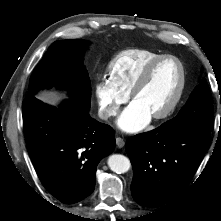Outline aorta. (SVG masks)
<instances>
[{"instance_id":"obj_1","label":"aorta","mask_w":221,"mask_h":221,"mask_svg":"<svg viewBox=\"0 0 221 221\" xmlns=\"http://www.w3.org/2000/svg\"><path fill=\"white\" fill-rule=\"evenodd\" d=\"M109 168L118 174L126 173L131 166L130 160L121 154H113L108 158Z\"/></svg>"}]
</instances>
